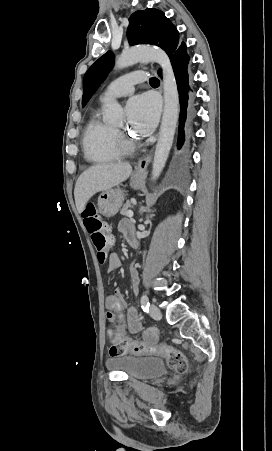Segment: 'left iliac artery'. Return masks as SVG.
<instances>
[{
    "label": "left iliac artery",
    "mask_w": 272,
    "mask_h": 451,
    "mask_svg": "<svg viewBox=\"0 0 272 451\" xmlns=\"http://www.w3.org/2000/svg\"><path fill=\"white\" fill-rule=\"evenodd\" d=\"M149 306H150V303H149L148 296L146 294H144L141 297V308H142L143 312H148Z\"/></svg>",
    "instance_id": "left-iliac-artery-1"
}]
</instances>
